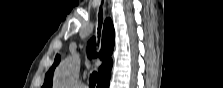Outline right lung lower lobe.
Segmentation results:
<instances>
[{"instance_id":"right-lung-lower-lobe-1","label":"right lung lower lobe","mask_w":223,"mask_h":88,"mask_svg":"<svg viewBox=\"0 0 223 88\" xmlns=\"http://www.w3.org/2000/svg\"><path fill=\"white\" fill-rule=\"evenodd\" d=\"M109 81H110V78L108 79H104L100 82H98V88H109Z\"/></svg>"}]
</instances>
